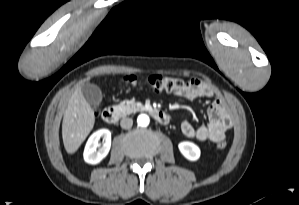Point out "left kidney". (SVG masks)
<instances>
[{"label": "left kidney", "instance_id": "1", "mask_svg": "<svg viewBox=\"0 0 299 205\" xmlns=\"http://www.w3.org/2000/svg\"><path fill=\"white\" fill-rule=\"evenodd\" d=\"M178 148L182 153V155L190 161H196L200 157L201 154L200 148L192 142L189 141L180 142L178 144Z\"/></svg>", "mask_w": 299, "mask_h": 205}]
</instances>
